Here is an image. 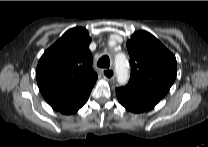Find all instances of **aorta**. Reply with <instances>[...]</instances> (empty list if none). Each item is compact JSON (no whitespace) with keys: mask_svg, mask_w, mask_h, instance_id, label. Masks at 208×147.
Wrapping results in <instances>:
<instances>
[{"mask_svg":"<svg viewBox=\"0 0 208 147\" xmlns=\"http://www.w3.org/2000/svg\"><path fill=\"white\" fill-rule=\"evenodd\" d=\"M115 70L117 82L120 85H125L129 80V69L126 57L123 54H118L115 57Z\"/></svg>","mask_w":208,"mask_h":147,"instance_id":"762f6f07","label":"aorta"}]
</instances>
